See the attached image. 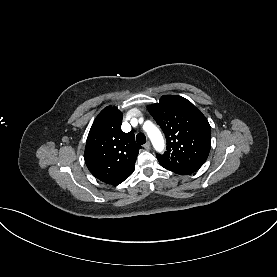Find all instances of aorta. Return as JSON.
Listing matches in <instances>:
<instances>
[{"label": "aorta", "mask_w": 277, "mask_h": 277, "mask_svg": "<svg viewBox=\"0 0 277 277\" xmlns=\"http://www.w3.org/2000/svg\"><path fill=\"white\" fill-rule=\"evenodd\" d=\"M146 124L149 125V127L146 129L147 134L154 146V148L157 151H162L164 148V139L162 137L161 132L159 131V129L152 124L151 122H147Z\"/></svg>", "instance_id": "aorta-1"}]
</instances>
